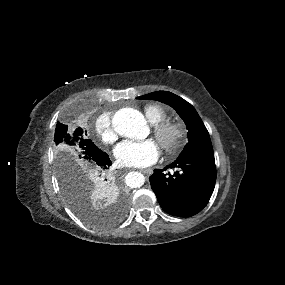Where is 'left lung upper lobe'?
Segmentation results:
<instances>
[{
    "label": "left lung upper lobe",
    "instance_id": "5c2ea615",
    "mask_svg": "<svg viewBox=\"0 0 285 285\" xmlns=\"http://www.w3.org/2000/svg\"><path fill=\"white\" fill-rule=\"evenodd\" d=\"M137 98L152 99L168 104L184 120L188 129L189 142L178 158L194 152L213 150L209 133L195 108L190 103L167 91L152 92Z\"/></svg>",
    "mask_w": 285,
    "mask_h": 285
}]
</instances>
